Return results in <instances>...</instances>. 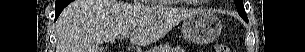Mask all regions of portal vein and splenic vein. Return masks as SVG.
I'll use <instances>...</instances> for the list:
<instances>
[{
	"mask_svg": "<svg viewBox=\"0 0 305 52\" xmlns=\"http://www.w3.org/2000/svg\"><path fill=\"white\" fill-rule=\"evenodd\" d=\"M127 37H130V34L125 33V34H123V37H121V39H124V38H127Z\"/></svg>",
	"mask_w": 305,
	"mask_h": 52,
	"instance_id": "portal-vein-and-splenic-vein-1",
	"label": "portal vein and splenic vein"
}]
</instances>
